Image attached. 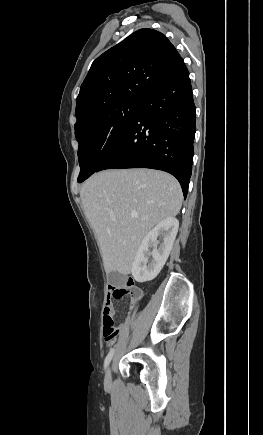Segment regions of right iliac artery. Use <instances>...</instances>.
Segmentation results:
<instances>
[{"mask_svg": "<svg viewBox=\"0 0 263 435\" xmlns=\"http://www.w3.org/2000/svg\"><path fill=\"white\" fill-rule=\"evenodd\" d=\"M113 354H114V348H112V349L110 350V352L108 353V355H107L106 358H105V361H104V369H106L107 366L109 365V363H110V361H111V359H112V357H113Z\"/></svg>", "mask_w": 263, "mask_h": 435, "instance_id": "right-iliac-artery-1", "label": "right iliac artery"}]
</instances>
